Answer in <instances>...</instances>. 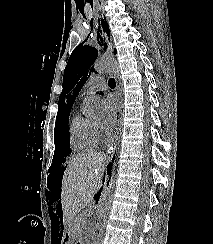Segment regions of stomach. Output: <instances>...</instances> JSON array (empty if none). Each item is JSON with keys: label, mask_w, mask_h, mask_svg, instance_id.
Wrapping results in <instances>:
<instances>
[{"label": "stomach", "mask_w": 213, "mask_h": 244, "mask_svg": "<svg viewBox=\"0 0 213 244\" xmlns=\"http://www.w3.org/2000/svg\"><path fill=\"white\" fill-rule=\"evenodd\" d=\"M64 227L66 234L61 240L62 244H73V239H78L79 229H77V221H65Z\"/></svg>", "instance_id": "1"}]
</instances>
